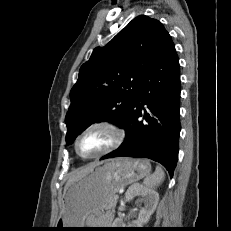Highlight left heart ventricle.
<instances>
[{"instance_id":"left-heart-ventricle-1","label":"left heart ventricle","mask_w":231,"mask_h":231,"mask_svg":"<svg viewBox=\"0 0 231 231\" xmlns=\"http://www.w3.org/2000/svg\"><path fill=\"white\" fill-rule=\"evenodd\" d=\"M114 140L113 133L104 127L87 131L78 142L79 152L84 156L95 155L109 147Z\"/></svg>"}]
</instances>
